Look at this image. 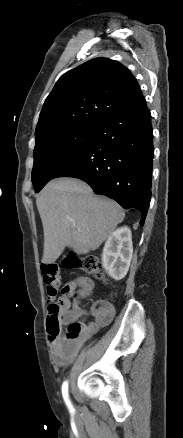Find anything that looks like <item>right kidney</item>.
I'll return each mask as SVG.
<instances>
[{"mask_svg": "<svg viewBox=\"0 0 183 438\" xmlns=\"http://www.w3.org/2000/svg\"><path fill=\"white\" fill-rule=\"evenodd\" d=\"M133 254L132 233L123 226L112 232L105 242L102 252V265L109 275L122 279L128 272Z\"/></svg>", "mask_w": 183, "mask_h": 438, "instance_id": "ca27d5eb", "label": "right kidney"}]
</instances>
